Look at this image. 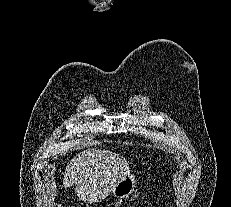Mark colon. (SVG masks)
Instances as JSON below:
<instances>
[{"mask_svg": "<svg viewBox=\"0 0 231 207\" xmlns=\"http://www.w3.org/2000/svg\"><path fill=\"white\" fill-rule=\"evenodd\" d=\"M55 207H61V206L57 204V205H55Z\"/></svg>", "mask_w": 231, "mask_h": 207, "instance_id": "5ec220e1", "label": "colon"}]
</instances>
